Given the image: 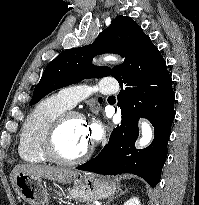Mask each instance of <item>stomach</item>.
I'll return each mask as SVG.
<instances>
[{"label":"stomach","instance_id":"0dacf381","mask_svg":"<svg viewBox=\"0 0 199 205\" xmlns=\"http://www.w3.org/2000/svg\"><path fill=\"white\" fill-rule=\"evenodd\" d=\"M18 195L30 205H49L50 197L43 179L29 174L19 173L14 180ZM59 192L68 199L81 202H91L114 195L119 190V184L110 177L85 174L73 180V186ZM57 192V191H55Z\"/></svg>","mask_w":199,"mask_h":205}]
</instances>
